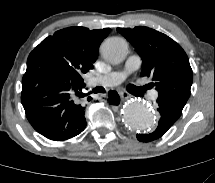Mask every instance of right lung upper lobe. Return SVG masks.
<instances>
[{
  "label": "right lung upper lobe",
  "instance_id": "1",
  "mask_svg": "<svg viewBox=\"0 0 215 183\" xmlns=\"http://www.w3.org/2000/svg\"><path fill=\"white\" fill-rule=\"evenodd\" d=\"M109 28L89 30L84 27H70L59 30L43 40L32 52L38 53L46 72L64 67L63 52L75 51L94 63L101 42L108 36ZM31 52V53H32Z\"/></svg>",
  "mask_w": 215,
  "mask_h": 183
}]
</instances>
